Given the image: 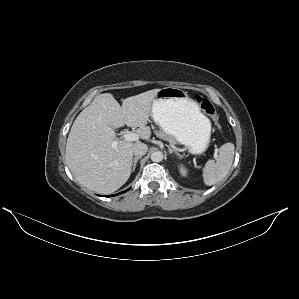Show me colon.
I'll return each instance as SVG.
<instances>
[{
	"label": "colon",
	"mask_w": 299,
	"mask_h": 299,
	"mask_svg": "<svg viewBox=\"0 0 299 299\" xmlns=\"http://www.w3.org/2000/svg\"><path fill=\"white\" fill-rule=\"evenodd\" d=\"M195 101L199 105V107L202 109V111L217 125V127L220 129V125L218 122V114L216 112V109L214 105L208 100L207 98L197 95L195 96Z\"/></svg>",
	"instance_id": "5ec220e1"
}]
</instances>
